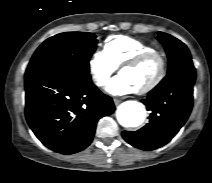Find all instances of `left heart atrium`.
<instances>
[{
	"mask_svg": "<svg viewBox=\"0 0 212 183\" xmlns=\"http://www.w3.org/2000/svg\"><path fill=\"white\" fill-rule=\"evenodd\" d=\"M107 91L112 95L120 96L134 93L137 91V89L132 83H130L120 74L111 81L107 87Z\"/></svg>",
	"mask_w": 212,
	"mask_h": 183,
	"instance_id": "1",
	"label": "left heart atrium"
}]
</instances>
